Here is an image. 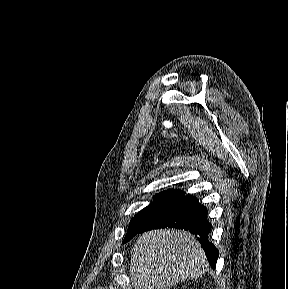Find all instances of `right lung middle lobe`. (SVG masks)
I'll use <instances>...</instances> for the list:
<instances>
[{
    "label": "right lung middle lobe",
    "mask_w": 288,
    "mask_h": 289,
    "mask_svg": "<svg viewBox=\"0 0 288 289\" xmlns=\"http://www.w3.org/2000/svg\"><path fill=\"white\" fill-rule=\"evenodd\" d=\"M184 196L180 190L176 189L167 190L155 195L154 201L132 218L123 242H127L133 238L139 230L175 206Z\"/></svg>",
    "instance_id": "obj_1"
}]
</instances>
